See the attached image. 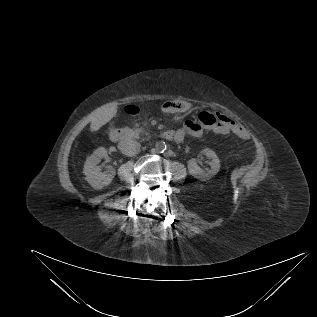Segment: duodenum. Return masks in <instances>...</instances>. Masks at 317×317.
Here are the masks:
<instances>
[{
  "mask_svg": "<svg viewBox=\"0 0 317 317\" xmlns=\"http://www.w3.org/2000/svg\"><path fill=\"white\" fill-rule=\"evenodd\" d=\"M136 136L135 131L123 128H114L110 133V138L114 142L134 139ZM162 137L167 140H173L175 139V133L172 130H167L162 133Z\"/></svg>",
  "mask_w": 317,
  "mask_h": 317,
  "instance_id": "410a0bca",
  "label": "duodenum"
}]
</instances>
